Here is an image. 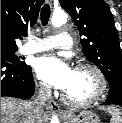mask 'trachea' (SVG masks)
I'll list each match as a JSON object with an SVG mask.
<instances>
[{
	"mask_svg": "<svg viewBox=\"0 0 122 123\" xmlns=\"http://www.w3.org/2000/svg\"><path fill=\"white\" fill-rule=\"evenodd\" d=\"M50 6L48 4H45L41 9V23L43 26H46L48 24L49 18H50Z\"/></svg>",
	"mask_w": 122,
	"mask_h": 123,
	"instance_id": "1",
	"label": "trachea"
}]
</instances>
